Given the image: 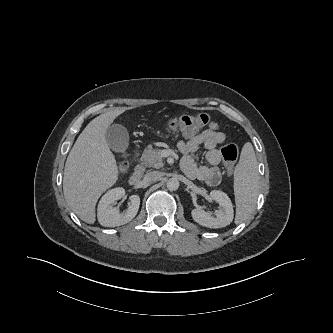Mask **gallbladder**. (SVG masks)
I'll list each match as a JSON object with an SVG mask.
<instances>
[{
    "mask_svg": "<svg viewBox=\"0 0 333 333\" xmlns=\"http://www.w3.org/2000/svg\"><path fill=\"white\" fill-rule=\"evenodd\" d=\"M106 140L114 152H124L129 145L127 129L121 124H112L106 131Z\"/></svg>",
    "mask_w": 333,
    "mask_h": 333,
    "instance_id": "gallbladder-1",
    "label": "gallbladder"
}]
</instances>
